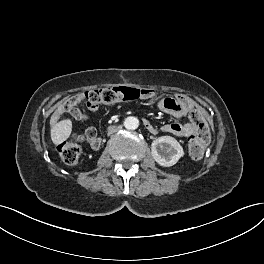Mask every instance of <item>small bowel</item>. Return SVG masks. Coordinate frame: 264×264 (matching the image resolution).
Here are the masks:
<instances>
[{"instance_id":"small-bowel-1","label":"small bowel","mask_w":264,"mask_h":264,"mask_svg":"<svg viewBox=\"0 0 264 264\" xmlns=\"http://www.w3.org/2000/svg\"><path fill=\"white\" fill-rule=\"evenodd\" d=\"M155 96V92L151 89H144L141 91V98L151 99ZM91 112H96L98 106H88ZM159 108L161 111L172 115L175 118L185 117L190 108L191 102L183 97L178 96L175 98H165L159 103ZM63 112H68L74 119L79 121H90V116L87 113L82 112L74 103H69L68 101L62 105L55 114V121H57ZM146 128L153 134L158 133V129L151 125L148 121H145ZM71 125L67 124V131L70 132ZM160 130L162 132L171 133L180 137H189L195 132V127L190 123H179L173 122L163 125ZM86 137L88 144L92 149L97 150L100 148L101 140L97 136V132L94 126L88 127L86 131Z\"/></svg>"}]
</instances>
